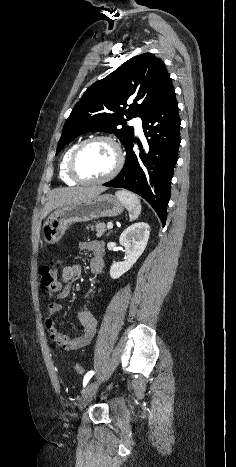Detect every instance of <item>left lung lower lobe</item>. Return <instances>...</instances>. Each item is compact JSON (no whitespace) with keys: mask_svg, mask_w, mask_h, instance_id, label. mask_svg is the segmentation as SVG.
<instances>
[{"mask_svg":"<svg viewBox=\"0 0 236 467\" xmlns=\"http://www.w3.org/2000/svg\"><path fill=\"white\" fill-rule=\"evenodd\" d=\"M146 143L138 155L133 151L134 138L125 146L126 161L122 171L107 187L125 188L143 197L156 211L162 225L166 222L170 184L178 157L180 118L173 86L142 118Z\"/></svg>","mask_w":236,"mask_h":467,"instance_id":"obj_1","label":"left lung lower lobe"}]
</instances>
